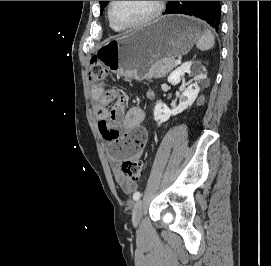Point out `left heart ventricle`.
Returning <instances> with one entry per match:
<instances>
[{
    "instance_id": "obj_1",
    "label": "left heart ventricle",
    "mask_w": 271,
    "mask_h": 266,
    "mask_svg": "<svg viewBox=\"0 0 271 266\" xmlns=\"http://www.w3.org/2000/svg\"><path fill=\"white\" fill-rule=\"evenodd\" d=\"M153 9L154 1H115L112 13L117 22L132 24L147 17Z\"/></svg>"
}]
</instances>
